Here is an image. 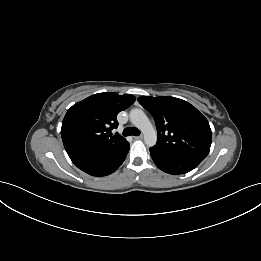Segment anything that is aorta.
<instances>
[{
	"instance_id": "1",
	"label": "aorta",
	"mask_w": 261,
	"mask_h": 261,
	"mask_svg": "<svg viewBox=\"0 0 261 261\" xmlns=\"http://www.w3.org/2000/svg\"><path fill=\"white\" fill-rule=\"evenodd\" d=\"M130 121L143 133L144 141L147 146L152 147L156 144V132L144 111L137 108L132 109L130 111Z\"/></svg>"
}]
</instances>
